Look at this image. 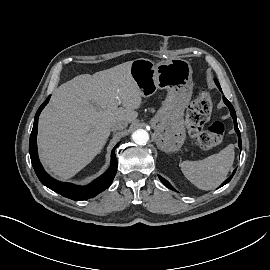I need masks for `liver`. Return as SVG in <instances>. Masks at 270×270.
Returning a JSON list of instances; mask_svg holds the SVG:
<instances>
[{"instance_id": "1", "label": "liver", "mask_w": 270, "mask_h": 270, "mask_svg": "<svg viewBox=\"0 0 270 270\" xmlns=\"http://www.w3.org/2000/svg\"><path fill=\"white\" fill-rule=\"evenodd\" d=\"M131 64L78 75L55 90L40 115L38 132L40 160L53 175L73 177L101 152L113 122L137 118L142 94Z\"/></svg>"}]
</instances>
